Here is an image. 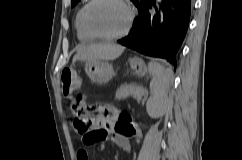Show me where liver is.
Instances as JSON below:
<instances>
[{"mask_svg": "<svg viewBox=\"0 0 242 160\" xmlns=\"http://www.w3.org/2000/svg\"><path fill=\"white\" fill-rule=\"evenodd\" d=\"M125 47L114 43L91 44L78 49L72 62L76 61H109L117 59Z\"/></svg>", "mask_w": 242, "mask_h": 160, "instance_id": "1", "label": "liver"}]
</instances>
